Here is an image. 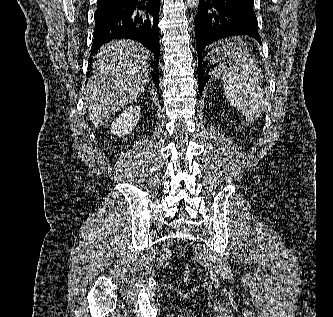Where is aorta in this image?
Returning a JSON list of instances; mask_svg holds the SVG:
<instances>
[{"label":"aorta","mask_w":333,"mask_h":317,"mask_svg":"<svg viewBox=\"0 0 333 317\" xmlns=\"http://www.w3.org/2000/svg\"><path fill=\"white\" fill-rule=\"evenodd\" d=\"M187 4L189 6L190 9H197L198 5H199V0H187Z\"/></svg>","instance_id":"obj_1"}]
</instances>
